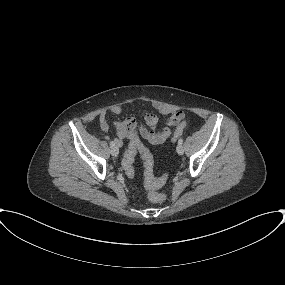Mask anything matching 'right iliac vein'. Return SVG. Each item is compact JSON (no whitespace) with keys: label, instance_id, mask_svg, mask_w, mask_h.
I'll use <instances>...</instances> for the list:
<instances>
[{"label":"right iliac vein","instance_id":"obj_1","mask_svg":"<svg viewBox=\"0 0 285 285\" xmlns=\"http://www.w3.org/2000/svg\"><path fill=\"white\" fill-rule=\"evenodd\" d=\"M110 152H111L112 156H117L119 154V149H118V147L114 146L111 148Z\"/></svg>","mask_w":285,"mask_h":285}]
</instances>
